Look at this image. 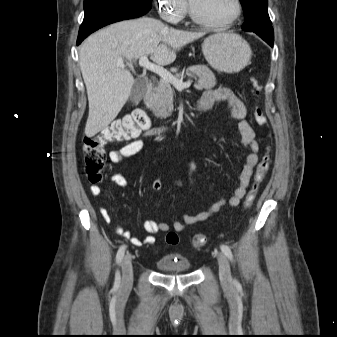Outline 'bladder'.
Instances as JSON below:
<instances>
[{"instance_id":"bladder-1","label":"bladder","mask_w":337,"mask_h":337,"mask_svg":"<svg viewBox=\"0 0 337 337\" xmlns=\"http://www.w3.org/2000/svg\"><path fill=\"white\" fill-rule=\"evenodd\" d=\"M157 269L163 274H185L190 271L189 261L178 254L168 253L159 258Z\"/></svg>"}]
</instances>
